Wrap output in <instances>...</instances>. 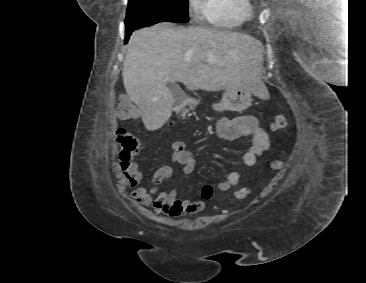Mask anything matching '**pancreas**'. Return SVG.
Masks as SVG:
<instances>
[{
	"label": "pancreas",
	"mask_w": 366,
	"mask_h": 283,
	"mask_svg": "<svg viewBox=\"0 0 366 283\" xmlns=\"http://www.w3.org/2000/svg\"><path fill=\"white\" fill-rule=\"evenodd\" d=\"M194 103V102H192ZM189 109H182V114L181 116L184 117L187 113H188Z\"/></svg>",
	"instance_id": "1"
}]
</instances>
